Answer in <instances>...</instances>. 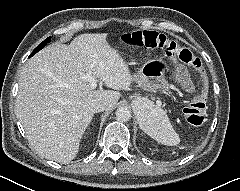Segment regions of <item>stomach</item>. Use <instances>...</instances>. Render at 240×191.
Returning <instances> with one entry per match:
<instances>
[{"label":"stomach","instance_id":"0dacf381","mask_svg":"<svg viewBox=\"0 0 240 191\" xmlns=\"http://www.w3.org/2000/svg\"><path fill=\"white\" fill-rule=\"evenodd\" d=\"M166 63L161 59H151L132 75V81L139 86L150 90H167L169 83L165 78ZM146 109H137L139 124H142V118Z\"/></svg>","mask_w":240,"mask_h":191}]
</instances>
